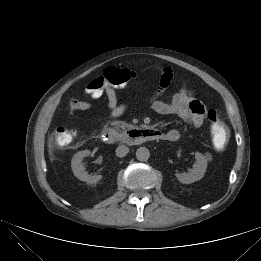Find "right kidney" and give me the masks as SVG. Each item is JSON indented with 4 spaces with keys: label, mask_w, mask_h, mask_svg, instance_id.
<instances>
[{
    "label": "right kidney",
    "mask_w": 261,
    "mask_h": 261,
    "mask_svg": "<svg viewBox=\"0 0 261 261\" xmlns=\"http://www.w3.org/2000/svg\"><path fill=\"white\" fill-rule=\"evenodd\" d=\"M90 155L89 150H83L76 153L71 160V167L74 175L81 181H85L90 184L97 183L101 180V175H88L85 172L84 166L81 164L82 160Z\"/></svg>",
    "instance_id": "right-kidney-1"
}]
</instances>
